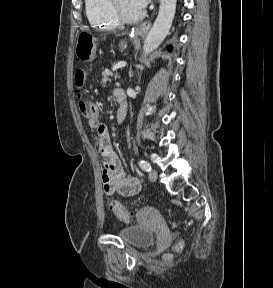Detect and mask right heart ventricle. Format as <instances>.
I'll list each match as a JSON object with an SVG mask.
<instances>
[{
    "instance_id": "obj_1",
    "label": "right heart ventricle",
    "mask_w": 273,
    "mask_h": 288,
    "mask_svg": "<svg viewBox=\"0 0 273 288\" xmlns=\"http://www.w3.org/2000/svg\"><path fill=\"white\" fill-rule=\"evenodd\" d=\"M85 10L92 27L100 30H111L118 26L112 18L108 0H85Z\"/></svg>"
}]
</instances>
